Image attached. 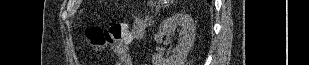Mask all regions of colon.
Returning <instances> with one entry per match:
<instances>
[{
	"instance_id": "5ec220e1",
	"label": "colon",
	"mask_w": 309,
	"mask_h": 65,
	"mask_svg": "<svg viewBox=\"0 0 309 65\" xmlns=\"http://www.w3.org/2000/svg\"><path fill=\"white\" fill-rule=\"evenodd\" d=\"M124 23H113L106 27H89L85 30V39L93 49H102L119 42L127 33Z\"/></svg>"
}]
</instances>
